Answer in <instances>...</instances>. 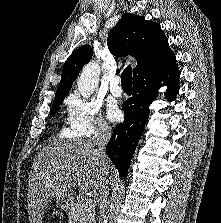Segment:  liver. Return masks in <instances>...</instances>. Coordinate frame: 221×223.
Segmentation results:
<instances>
[{
  "label": "liver",
  "mask_w": 221,
  "mask_h": 223,
  "mask_svg": "<svg viewBox=\"0 0 221 223\" xmlns=\"http://www.w3.org/2000/svg\"><path fill=\"white\" fill-rule=\"evenodd\" d=\"M110 162L102 166L92 141L56 140L35 157L28 183L30 223H41L48 203L78 185L82 191L96 189Z\"/></svg>",
  "instance_id": "liver-1"
}]
</instances>
